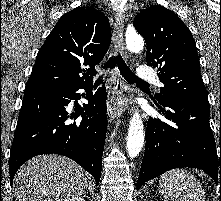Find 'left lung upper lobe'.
I'll use <instances>...</instances> for the list:
<instances>
[{
    "label": "left lung upper lobe",
    "mask_w": 221,
    "mask_h": 201,
    "mask_svg": "<svg viewBox=\"0 0 221 201\" xmlns=\"http://www.w3.org/2000/svg\"><path fill=\"white\" fill-rule=\"evenodd\" d=\"M134 27L145 39L147 65L159 68V79L165 85L155 98L162 102H208L196 44L183 21L169 9L155 5L135 17Z\"/></svg>",
    "instance_id": "1"
}]
</instances>
